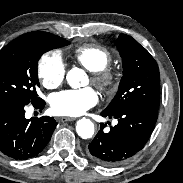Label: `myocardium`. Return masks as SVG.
<instances>
[{
  "instance_id": "f54148a6",
  "label": "myocardium",
  "mask_w": 183,
  "mask_h": 183,
  "mask_svg": "<svg viewBox=\"0 0 183 183\" xmlns=\"http://www.w3.org/2000/svg\"><path fill=\"white\" fill-rule=\"evenodd\" d=\"M92 81L104 91H110L117 82V75L110 69H103L92 73Z\"/></svg>"
}]
</instances>
